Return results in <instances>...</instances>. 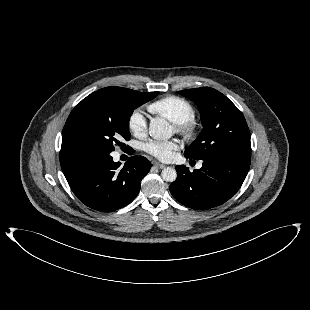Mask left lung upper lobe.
Here are the masks:
<instances>
[{"label": "left lung upper lobe", "instance_id": "5c2ea615", "mask_svg": "<svg viewBox=\"0 0 310 310\" xmlns=\"http://www.w3.org/2000/svg\"><path fill=\"white\" fill-rule=\"evenodd\" d=\"M194 101L203 129L185 150L189 159L205 160L220 154L250 155V132L241 111L222 93L209 88L178 91Z\"/></svg>", "mask_w": 310, "mask_h": 310}]
</instances>
